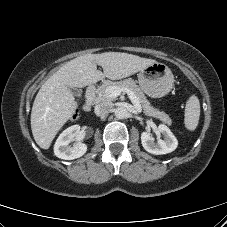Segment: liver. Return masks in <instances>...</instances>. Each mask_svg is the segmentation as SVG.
<instances>
[{
    "label": "liver",
    "mask_w": 227,
    "mask_h": 227,
    "mask_svg": "<svg viewBox=\"0 0 227 227\" xmlns=\"http://www.w3.org/2000/svg\"><path fill=\"white\" fill-rule=\"evenodd\" d=\"M153 59L121 52L86 54L64 64L40 88L31 111L34 140L48 149L62 126L73 116L78 103L70 90L86 87L107 77L111 80L129 77L149 65ZM97 65L103 72L97 70Z\"/></svg>",
    "instance_id": "1"
}]
</instances>
